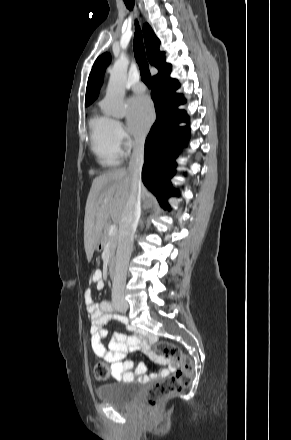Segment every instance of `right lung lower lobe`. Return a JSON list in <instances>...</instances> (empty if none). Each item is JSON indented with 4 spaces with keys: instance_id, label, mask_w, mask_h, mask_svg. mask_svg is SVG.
<instances>
[{
    "instance_id": "98d812e1",
    "label": "right lung lower lobe",
    "mask_w": 291,
    "mask_h": 440,
    "mask_svg": "<svg viewBox=\"0 0 291 440\" xmlns=\"http://www.w3.org/2000/svg\"><path fill=\"white\" fill-rule=\"evenodd\" d=\"M177 88L179 83L170 78V70L152 79L151 96L157 119L145 141L142 181L164 208H169L167 199L175 194L171 178L176 172L175 159L184 146L180 142H187L190 137L188 126H178L189 118L184 111L177 109L185 102L181 94L175 93Z\"/></svg>"
}]
</instances>
